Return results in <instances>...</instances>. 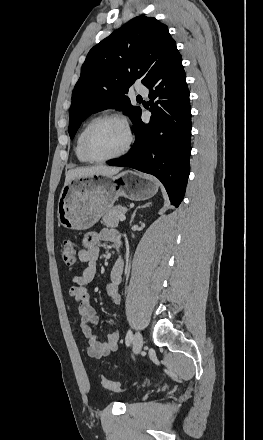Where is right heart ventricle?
Returning <instances> with one entry per match:
<instances>
[{
	"label": "right heart ventricle",
	"instance_id": "obj_1",
	"mask_svg": "<svg viewBox=\"0 0 263 440\" xmlns=\"http://www.w3.org/2000/svg\"><path fill=\"white\" fill-rule=\"evenodd\" d=\"M95 118H91L89 119L79 130L76 140H75V146H74V152H75V156L77 158V160L80 163L86 164V163H90L91 161H89L83 154L82 152V139H83V135L87 129V127L89 126V124L94 120Z\"/></svg>",
	"mask_w": 263,
	"mask_h": 440
}]
</instances>
